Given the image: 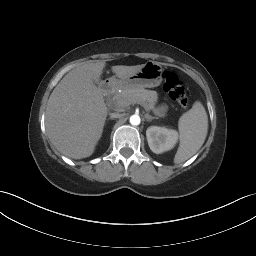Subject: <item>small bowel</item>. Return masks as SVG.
Listing matches in <instances>:
<instances>
[{
	"mask_svg": "<svg viewBox=\"0 0 256 256\" xmlns=\"http://www.w3.org/2000/svg\"><path fill=\"white\" fill-rule=\"evenodd\" d=\"M160 111L163 112V111H164V108H161Z\"/></svg>",
	"mask_w": 256,
	"mask_h": 256,
	"instance_id": "1",
	"label": "small bowel"
}]
</instances>
